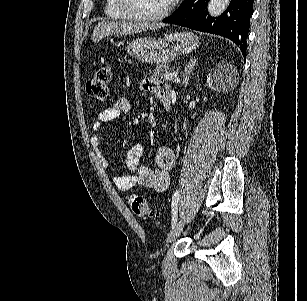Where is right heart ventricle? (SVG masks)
Here are the masks:
<instances>
[{
	"label": "right heart ventricle",
	"mask_w": 307,
	"mask_h": 301,
	"mask_svg": "<svg viewBox=\"0 0 307 301\" xmlns=\"http://www.w3.org/2000/svg\"><path fill=\"white\" fill-rule=\"evenodd\" d=\"M109 5H107V10H105V17H124V10L113 9L114 5H119L118 2L114 0H107Z\"/></svg>",
	"instance_id": "right-heart-ventricle-1"
}]
</instances>
